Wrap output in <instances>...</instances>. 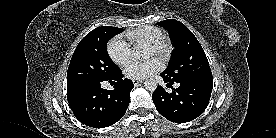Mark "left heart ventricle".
<instances>
[{
	"instance_id": "1",
	"label": "left heart ventricle",
	"mask_w": 276,
	"mask_h": 138,
	"mask_svg": "<svg viewBox=\"0 0 276 138\" xmlns=\"http://www.w3.org/2000/svg\"><path fill=\"white\" fill-rule=\"evenodd\" d=\"M148 53H149V56H150V57L156 56L155 51H154L151 47L148 48Z\"/></svg>"
}]
</instances>
